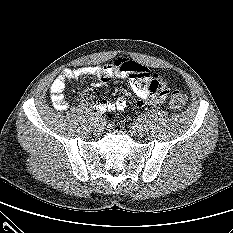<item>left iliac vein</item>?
Here are the masks:
<instances>
[{
  "mask_svg": "<svg viewBox=\"0 0 233 233\" xmlns=\"http://www.w3.org/2000/svg\"><path fill=\"white\" fill-rule=\"evenodd\" d=\"M132 132L134 133V135H136L137 137H143L145 132L144 129L141 125L136 124L132 127Z\"/></svg>",
  "mask_w": 233,
  "mask_h": 233,
  "instance_id": "left-iliac-vein-1",
  "label": "left iliac vein"
}]
</instances>
